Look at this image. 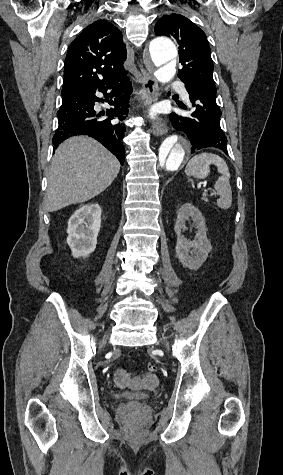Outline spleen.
Instances as JSON below:
<instances>
[{"label": "spleen", "mask_w": 283, "mask_h": 475, "mask_svg": "<svg viewBox=\"0 0 283 475\" xmlns=\"http://www.w3.org/2000/svg\"><path fill=\"white\" fill-rule=\"evenodd\" d=\"M211 164H214L219 174H222L214 186L220 196L219 200H217V206L218 208H222V210H228L232 204V192L229 182L230 174L226 162H224L220 156L208 154V152L194 156L192 160H189L185 168V174L186 176H194V178L204 180V178H207L210 174Z\"/></svg>", "instance_id": "obj_1"}]
</instances>
